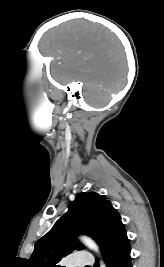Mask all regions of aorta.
Returning a JSON list of instances; mask_svg holds the SVG:
<instances>
[{
	"label": "aorta",
	"mask_w": 164,
	"mask_h": 267,
	"mask_svg": "<svg viewBox=\"0 0 164 267\" xmlns=\"http://www.w3.org/2000/svg\"><path fill=\"white\" fill-rule=\"evenodd\" d=\"M82 242L89 247L90 249L98 252L99 249L97 247V245L88 237H81ZM101 267H105L104 263H101Z\"/></svg>",
	"instance_id": "obj_1"
}]
</instances>
